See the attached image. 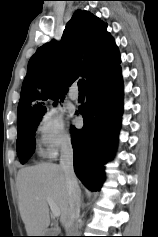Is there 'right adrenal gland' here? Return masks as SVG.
Returning <instances> with one entry per match:
<instances>
[{
	"label": "right adrenal gland",
	"instance_id": "obj_1",
	"mask_svg": "<svg viewBox=\"0 0 158 237\" xmlns=\"http://www.w3.org/2000/svg\"><path fill=\"white\" fill-rule=\"evenodd\" d=\"M81 205H82V208H84L83 198H82V201H81Z\"/></svg>",
	"mask_w": 158,
	"mask_h": 237
}]
</instances>
